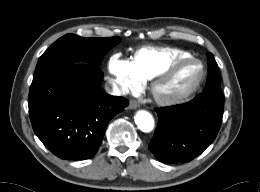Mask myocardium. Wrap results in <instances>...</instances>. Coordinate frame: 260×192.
Segmentation results:
<instances>
[{
	"mask_svg": "<svg viewBox=\"0 0 260 192\" xmlns=\"http://www.w3.org/2000/svg\"><path fill=\"white\" fill-rule=\"evenodd\" d=\"M189 64L197 65L199 68V74H198L197 78L189 87H187L186 89H184L183 91H181L177 94L166 96V97H162V96H159L156 94V87L160 83L167 80L172 74H174V72H176L182 66L189 65ZM204 77H205V70H204L202 63L199 60H197L195 58L181 59V60H178V61L172 63L165 70H163L159 74L152 77L150 79V83L148 85V92H149V95L151 96V98L159 105L176 104L178 102H181V101L187 99L193 93H195L196 90L200 87Z\"/></svg>",
	"mask_w": 260,
	"mask_h": 192,
	"instance_id": "1",
	"label": "myocardium"
}]
</instances>
